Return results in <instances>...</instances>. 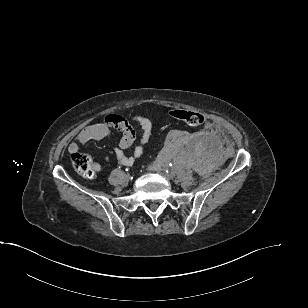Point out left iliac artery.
Instances as JSON below:
<instances>
[{
    "label": "left iliac artery",
    "instance_id": "left-iliac-artery-1",
    "mask_svg": "<svg viewBox=\"0 0 308 308\" xmlns=\"http://www.w3.org/2000/svg\"><path fill=\"white\" fill-rule=\"evenodd\" d=\"M169 166H170V168H173V167H174V165H173L172 163H170V164H169ZM168 170H169V167H168V166H166V172H167V173H169V171H168Z\"/></svg>",
    "mask_w": 308,
    "mask_h": 308
}]
</instances>
